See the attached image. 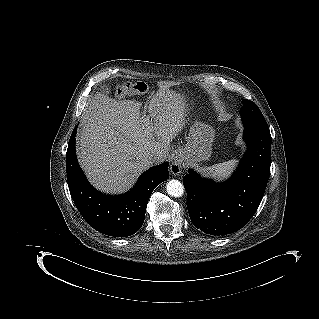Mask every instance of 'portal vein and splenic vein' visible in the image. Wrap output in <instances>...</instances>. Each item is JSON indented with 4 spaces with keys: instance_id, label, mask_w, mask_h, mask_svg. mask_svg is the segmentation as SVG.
<instances>
[{
    "instance_id": "portal-vein-and-splenic-vein-1",
    "label": "portal vein and splenic vein",
    "mask_w": 319,
    "mask_h": 319,
    "mask_svg": "<svg viewBox=\"0 0 319 319\" xmlns=\"http://www.w3.org/2000/svg\"><path fill=\"white\" fill-rule=\"evenodd\" d=\"M145 119H146V121H148V120H149V117L147 116ZM148 130H149V131H152V127H149Z\"/></svg>"
}]
</instances>
